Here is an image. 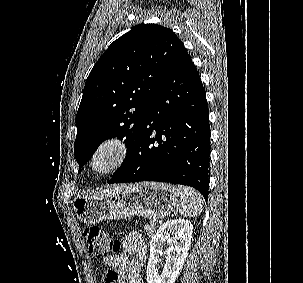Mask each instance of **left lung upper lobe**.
Here are the masks:
<instances>
[{"label": "left lung upper lobe", "mask_w": 303, "mask_h": 283, "mask_svg": "<svg viewBox=\"0 0 303 283\" xmlns=\"http://www.w3.org/2000/svg\"><path fill=\"white\" fill-rule=\"evenodd\" d=\"M184 49L171 29L141 24L115 40L92 68L76 115L75 158L82 169L106 139H125L129 159L163 78Z\"/></svg>", "instance_id": "left-lung-upper-lobe-1"}]
</instances>
